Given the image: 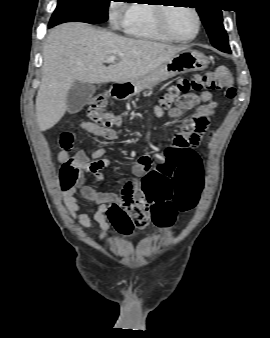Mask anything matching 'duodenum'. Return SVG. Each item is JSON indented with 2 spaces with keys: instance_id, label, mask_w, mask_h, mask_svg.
<instances>
[{
  "instance_id": "duodenum-1",
  "label": "duodenum",
  "mask_w": 270,
  "mask_h": 338,
  "mask_svg": "<svg viewBox=\"0 0 270 338\" xmlns=\"http://www.w3.org/2000/svg\"><path fill=\"white\" fill-rule=\"evenodd\" d=\"M126 95V88L123 85H115L110 90V97L115 100H121Z\"/></svg>"
}]
</instances>
